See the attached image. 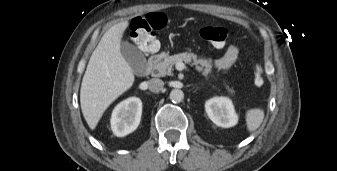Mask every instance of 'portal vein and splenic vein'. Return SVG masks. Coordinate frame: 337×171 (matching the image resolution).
<instances>
[{
	"label": "portal vein and splenic vein",
	"instance_id": "obj_1",
	"mask_svg": "<svg viewBox=\"0 0 337 171\" xmlns=\"http://www.w3.org/2000/svg\"><path fill=\"white\" fill-rule=\"evenodd\" d=\"M176 69L178 71H182V70L186 69V66L183 62H178V63H176Z\"/></svg>",
	"mask_w": 337,
	"mask_h": 171
}]
</instances>
